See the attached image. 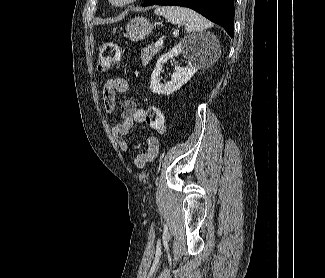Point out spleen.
<instances>
[{"label": "spleen", "instance_id": "3e777b00", "mask_svg": "<svg viewBox=\"0 0 325 278\" xmlns=\"http://www.w3.org/2000/svg\"><path fill=\"white\" fill-rule=\"evenodd\" d=\"M154 13L172 24L183 25L188 33L201 32L212 26L210 21L189 8L162 6L156 7Z\"/></svg>", "mask_w": 325, "mask_h": 278}]
</instances>
